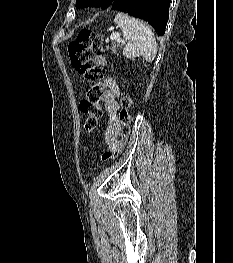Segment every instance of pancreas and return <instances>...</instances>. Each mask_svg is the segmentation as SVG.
I'll return each instance as SVG.
<instances>
[{
	"label": "pancreas",
	"instance_id": "obj_1",
	"mask_svg": "<svg viewBox=\"0 0 233 263\" xmlns=\"http://www.w3.org/2000/svg\"><path fill=\"white\" fill-rule=\"evenodd\" d=\"M119 48H121V45L116 43H113V45L110 48L107 47V49H110L115 55H118Z\"/></svg>",
	"mask_w": 233,
	"mask_h": 263
}]
</instances>
